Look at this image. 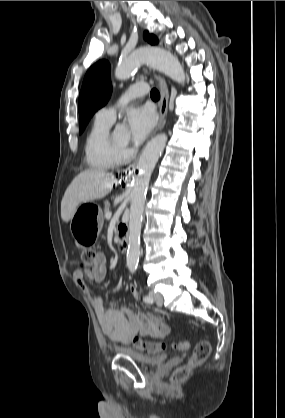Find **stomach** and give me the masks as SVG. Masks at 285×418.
Returning <instances> with one entry per match:
<instances>
[{
    "label": "stomach",
    "instance_id": "obj_1",
    "mask_svg": "<svg viewBox=\"0 0 285 418\" xmlns=\"http://www.w3.org/2000/svg\"><path fill=\"white\" fill-rule=\"evenodd\" d=\"M81 204L70 220V231L75 241L81 245L91 244L99 235L103 225V215L100 207L94 212H86Z\"/></svg>",
    "mask_w": 285,
    "mask_h": 418
}]
</instances>
